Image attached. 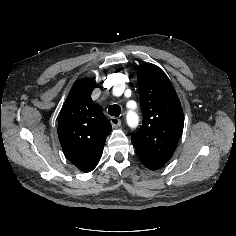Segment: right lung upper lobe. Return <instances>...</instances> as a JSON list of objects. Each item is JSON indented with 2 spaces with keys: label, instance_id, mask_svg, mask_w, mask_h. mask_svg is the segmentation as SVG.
<instances>
[{
  "label": "right lung upper lobe",
  "instance_id": "obj_1",
  "mask_svg": "<svg viewBox=\"0 0 236 236\" xmlns=\"http://www.w3.org/2000/svg\"><path fill=\"white\" fill-rule=\"evenodd\" d=\"M94 78H83L71 89L58 121V137L68 160L83 172L100 160L111 123L91 99Z\"/></svg>",
  "mask_w": 236,
  "mask_h": 236
}]
</instances>
